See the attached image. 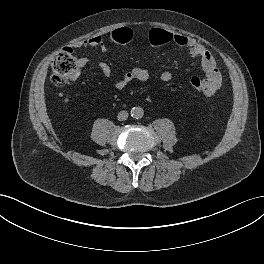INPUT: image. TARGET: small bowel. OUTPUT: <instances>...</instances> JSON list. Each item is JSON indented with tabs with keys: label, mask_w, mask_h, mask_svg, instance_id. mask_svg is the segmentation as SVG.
<instances>
[{
	"label": "small bowel",
	"mask_w": 264,
	"mask_h": 264,
	"mask_svg": "<svg viewBox=\"0 0 264 264\" xmlns=\"http://www.w3.org/2000/svg\"><path fill=\"white\" fill-rule=\"evenodd\" d=\"M132 32L131 28H129ZM171 33V42L178 47L186 48L188 50L189 55L192 58H198L201 63V68L205 73V81L208 84V92L205 95L211 96L217 92V90L221 87L222 84V76L217 68L216 61L212 55V53L207 50L197 39L187 37L177 33ZM75 48H95L99 49L102 53L107 52V46L102 36L95 35L90 38L75 42L73 44ZM79 63L82 67L86 66L89 63V59L87 57H80ZM98 67L102 74L105 77H110L112 70L108 63L100 62ZM150 72L140 66H136L131 68L128 71L122 73L121 77L115 82V88L118 90L125 89L131 82L139 81L145 82L149 80ZM172 79V73L170 71H163L160 74V80L163 82H169Z\"/></svg>",
	"instance_id": "small-bowel-1"
}]
</instances>
